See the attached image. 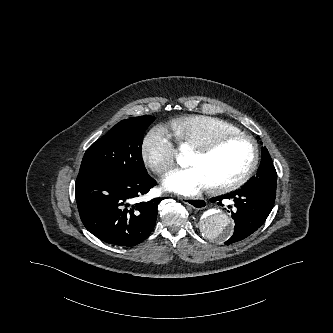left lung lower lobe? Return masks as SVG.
I'll return each instance as SVG.
<instances>
[{
    "mask_svg": "<svg viewBox=\"0 0 333 333\" xmlns=\"http://www.w3.org/2000/svg\"><path fill=\"white\" fill-rule=\"evenodd\" d=\"M275 196L276 192L273 191L242 187L233 193L216 197L214 200L218 205H222L223 199H229L234 201L235 206V212H232L234 233L225 244L243 240L255 232L270 214Z\"/></svg>",
    "mask_w": 333,
    "mask_h": 333,
    "instance_id": "obj_1",
    "label": "left lung lower lobe"
}]
</instances>
